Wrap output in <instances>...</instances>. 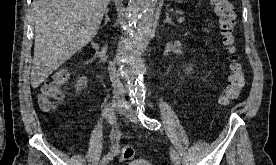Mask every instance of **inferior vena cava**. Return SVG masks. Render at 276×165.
<instances>
[{
    "label": "inferior vena cava",
    "instance_id": "inferior-vena-cava-1",
    "mask_svg": "<svg viewBox=\"0 0 276 165\" xmlns=\"http://www.w3.org/2000/svg\"><path fill=\"white\" fill-rule=\"evenodd\" d=\"M110 80L113 86V98L116 102H124L125 101V88L124 85L120 81L119 74L117 73V69L114 63H111L108 66Z\"/></svg>",
    "mask_w": 276,
    "mask_h": 165
}]
</instances>
